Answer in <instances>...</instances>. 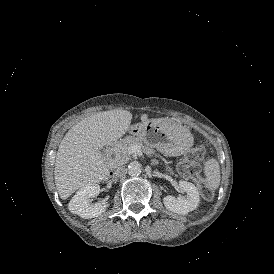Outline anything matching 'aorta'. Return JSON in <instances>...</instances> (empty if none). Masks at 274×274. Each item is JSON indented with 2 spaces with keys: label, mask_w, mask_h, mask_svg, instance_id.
Returning <instances> with one entry per match:
<instances>
[{
  "label": "aorta",
  "mask_w": 274,
  "mask_h": 274,
  "mask_svg": "<svg viewBox=\"0 0 274 274\" xmlns=\"http://www.w3.org/2000/svg\"><path fill=\"white\" fill-rule=\"evenodd\" d=\"M128 173L131 176H138L141 173V164L137 161H133L128 165Z\"/></svg>",
  "instance_id": "obj_1"
}]
</instances>
